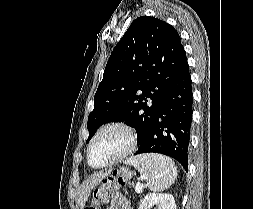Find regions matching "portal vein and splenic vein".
I'll return each mask as SVG.
<instances>
[{
	"instance_id": "obj_1",
	"label": "portal vein and splenic vein",
	"mask_w": 253,
	"mask_h": 209,
	"mask_svg": "<svg viewBox=\"0 0 253 209\" xmlns=\"http://www.w3.org/2000/svg\"><path fill=\"white\" fill-rule=\"evenodd\" d=\"M135 191L137 193H141L142 192V184L141 183H138L135 187Z\"/></svg>"
}]
</instances>
